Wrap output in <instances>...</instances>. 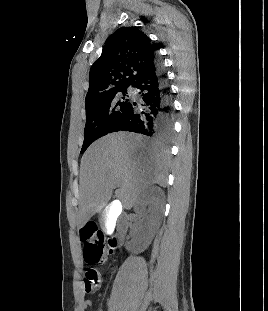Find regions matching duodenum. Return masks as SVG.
Listing matches in <instances>:
<instances>
[{
	"label": "duodenum",
	"instance_id": "obj_1",
	"mask_svg": "<svg viewBox=\"0 0 268 311\" xmlns=\"http://www.w3.org/2000/svg\"><path fill=\"white\" fill-rule=\"evenodd\" d=\"M127 229V223L125 220L123 219H118L117 221V232L114 236H111L109 239H108V247L110 249H115L117 248V246L119 245L125 231Z\"/></svg>",
	"mask_w": 268,
	"mask_h": 311
}]
</instances>
